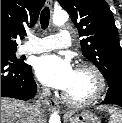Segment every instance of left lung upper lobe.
I'll list each match as a JSON object with an SVG mask.
<instances>
[{"mask_svg": "<svg viewBox=\"0 0 122 123\" xmlns=\"http://www.w3.org/2000/svg\"><path fill=\"white\" fill-rule=\"evenodd\" d=\"M78 29L83 55L108 84L122 79V49L113 14L105 0H58Z\"/></svg>", "mask_w": 122, "mask_h": 123, "instance_id": "1", "label": "left lung upper lobe"}]
</instances>
